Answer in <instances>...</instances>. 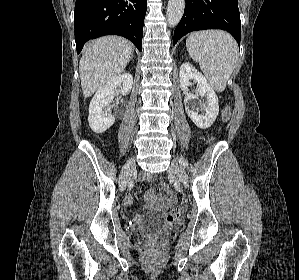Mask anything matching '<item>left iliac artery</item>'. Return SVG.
<instances>
[{"mask_svg": "<svg viewBox=\"0 0 299 280\" xmlns=\"http://www.w3.org/2000/svg\"><path fill=\"white\" fill-rule=\"evenodd\" d=\"M181 163H183L184 166H186L187 164L184 161H181Z\"/></svg>", "mask_w": 299, "mask_h": 280, "instance_id": "1", "label": "left iliac artery"}]
</instances>
